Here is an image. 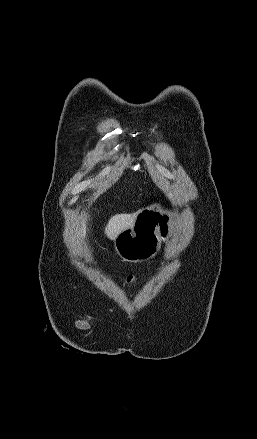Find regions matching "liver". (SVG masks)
<instances>
[{
	"label": "liver",
	"instance_id": "6515ba94",
	"mask_svg": "<svg viewBox=\"0 0 257 439\" xmlns=\"http://www.w3.org/2000/svg\"><path fill=\"white\" fill-rule=\"evenodd\" d=\"M139 212L140 210L133 214H116L111 217L105 228V234L107 237L111 240H115L123 230L132 227ZM85 233V226L83 225L81 230L82 238L85 237Z\"/></svg>",
	"mask_w": 257,
	"mask_h": 439
}]
</instances>
